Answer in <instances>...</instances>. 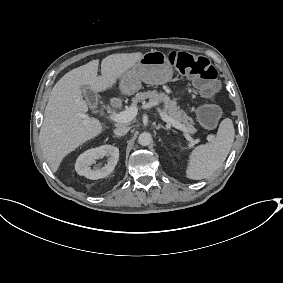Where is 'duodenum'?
I'll list each match as a JSON object with an SVG mask.
<instances>
[{
    "label": "duodenum",
    "mask_w": 283,
    "mask_h": 283,
    "mask_svg": "<svg viewBox=\"0 0 283 283\" xmlns=\"http://www.w3.org/2000/svg\"><path fill=\"white\" fill-rule=\"evenodd\" d=\"M110 105L112 108L117 109L119 107V100L118 98L114 97L110 101Z\"/></svg>",
    "instance_id": "1"
}]
</instances>
